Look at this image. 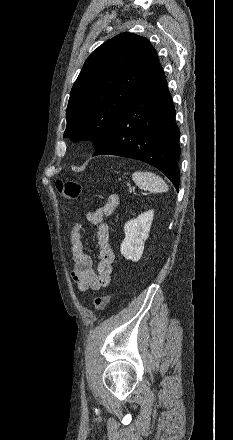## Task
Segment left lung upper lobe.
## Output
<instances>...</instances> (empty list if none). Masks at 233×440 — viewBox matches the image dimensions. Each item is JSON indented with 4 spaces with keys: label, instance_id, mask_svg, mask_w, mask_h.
Wrapping results in <instances>:
<instances>
[{
    "label": "left lung upper lobe",
    "instance_id": "left-lung-upper-lobe-1",
    "mask_svg": "<svg viewBox=\"0 0 233 440\" xmlns=\"http://www.w3.org/2000/svg\"><path fill=\"white\" fill-rule=\"evenodd\" d=\"M157 64L156 50L144 37L121 33L104 42L87 58L72 87L64 137L91 139L97 150Z\"/></svg>",
    "mask_w": 233,
    "mask_h": 440
}]
</instances>
